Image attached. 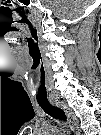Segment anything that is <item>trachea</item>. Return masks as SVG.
I'll list each match as a JSON object with an SVG mask.
<instances>
[{
	"label": "trachea",
	"mask_w": 101,
	"mask_h": 135,
	"mask_svg": "<svg viewBox=\"0 0 101 135\" xmlns=\"http://www.w3.org/2000/svg\"><path fill=\"white\" fill-rule=\"evenodd\" d=\"M40 107L52 117L61 121L66 120L65 112L58 107L52 106L50 103H39Z\"/></svg>",
	"instance_id": "trachea-1"
}]
</instances>
